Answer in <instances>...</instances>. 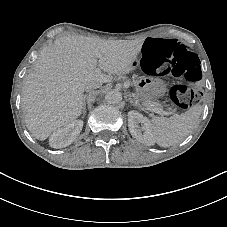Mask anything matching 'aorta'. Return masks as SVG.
<instances>
[{
  "label": "aorta",
  "mask_w": 227,
  "mask_h": 227,
  "mask_svg": "<svg viewBox=\"0 0 227 227\" xmlns=\"http://www.w3.org/2000/svg\"><path fill=\"white\" fill-rule=\"evenodd\" d=\"M105 101L107 104H119L122 101V94L118 90L108 91L105 95Z\"/></svg>",
  "instance_id": "aorta-1"
}]
</instances>
